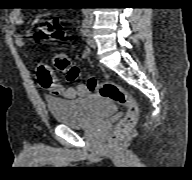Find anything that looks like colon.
<instances>
[{
    "label": "colon",
    "mask_w": 192,
    "mask_h": 180,
    "mask_svg": "<svg viewBox=\"0 0 192 180\" xmlns=\"http://www.w3.org/2000/svg\"><path fill=\"white\" fill-rule=\"evenodd\" d=\"M63 32L58 29L53 22L43 25L37 32L35 38L39 41L60 40ZM54 66L62 74H64L69 82H75L80 79V69L72 64L70 59L64 54H57L54 57ZM86 88L90 92H96L104 98H108L127 108L125 116L120 120L115 131V138L128 132L136 124L139 116V106L136 99L131 93L113 81H99L94 77H90L86 81Z\"/></svg>",
    "instance_id": "1"
}]
</instances>
